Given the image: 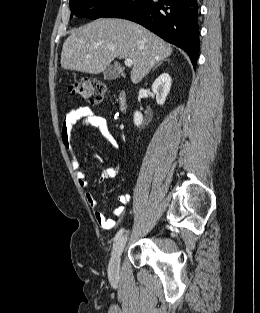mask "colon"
<instances>
[{
    "label": "colon",
    "mask_w": 260,
    "mask_h": 313,
    "mask_svg": "<svg viewBox=\"0 0 260 313\" xmlns=\"http://www.w3.org/2000/svg\"><path fill=\"white\" fill-rule=\"evenodd\" d=\"M70 93L80 96L91 104L101 103L107 93L104 83L83 78L74 81L69 87Z\"/></svg>",
    "instance_id": "colon-1"
}]
</instances>
